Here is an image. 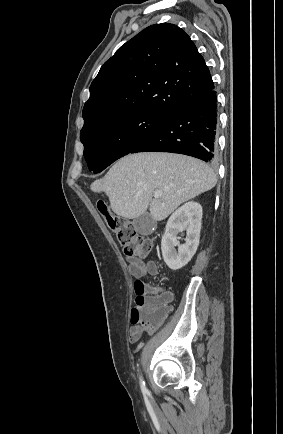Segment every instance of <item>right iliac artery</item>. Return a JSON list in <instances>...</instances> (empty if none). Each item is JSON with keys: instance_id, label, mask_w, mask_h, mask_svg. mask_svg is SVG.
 <instances>
[{"instance_id": "82829eb1", "label": "right iliac artery", "mask_w": 283, "mask_h": 434, "mask_svg": "<svg viewBox=\"0 0 283 434\" xmlns=\"http://www.w3.org/2000/svg\"><path fill=\"white\" fill-rule=\"evenodd\" d=\"M140 384H141V390L143 392V394H146L148 392L146 386H145V382L143 381V379L140 377Z\"/></svg>"}]
</instances>
